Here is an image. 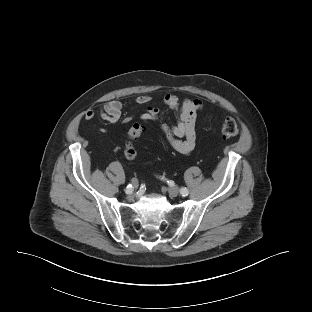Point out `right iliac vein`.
Segmentation results:
<instances>
[{"label":"right iliac vein","instance_id":"right-iliac-vein-1","mask_svg":"<svg viewBox=\"0 0 312 312\" xmlns=\"http://www.w3.org/2000/svg\"><path fill=\"white\" fill-rule=\"evenodd\" d=\"M132 184H133V188H137L138 187V181L136 179L132 180ZM131 193H129L130 195Z\"/></svg>","mask_w":312,"mask_h":312}]
</instances>
